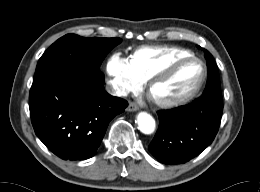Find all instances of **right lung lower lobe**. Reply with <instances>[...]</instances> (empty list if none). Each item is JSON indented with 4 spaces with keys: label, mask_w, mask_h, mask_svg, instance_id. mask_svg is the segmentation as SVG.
I'll return each instance as SVG.
<instances>
[{
    "label": "right lung lower lobe",
    "mask_w": 260,
    "mask_h": 192,
    "mask_svg": "<svg viewBox=\"0 0 260 192\" xmlns=\"http://www.w3.org/2000/svg\"><path fill=\"white\" fill-rule=\"evenodd\" d=\"M100 69L64 64L33 80L30 116L38 138L64 160L91 158L109 122L128 106L105 92Z\"/></svg>",
    "instance_id": "obj_1"
}]
</instances>
